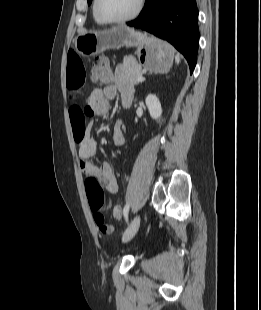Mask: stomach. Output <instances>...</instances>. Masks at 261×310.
I'll use <instances>...</instances> for the list:
<instances>
[{
    "mask_svg": "<svg viewBox=\"0 0 261 310\" xmlns=\"http://www.w3.org/2000/svg\"><path fill=\"white\" fill-rule=\"evenodd\" d=\"M124 46L136 47L139 65L150 72L166 73L173 64L174 50L169 44L126 26L86 32L75 39L77 52L84 56H94Z\"/></svg>",
    "mask_w": 261,
    "mask_h": 310,
    "instance_id": "0dacf381",
    "label": "stomach"
}]
</instances>
